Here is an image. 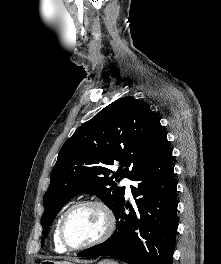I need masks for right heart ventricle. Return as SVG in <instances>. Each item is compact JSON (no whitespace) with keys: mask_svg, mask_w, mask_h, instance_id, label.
Masks as SVG:
<instances>
[{"mask_svg":"<svg viewBox=\"0 0 221 264\" xmlns=\"http://www.w3.org/2000/svg\"><path fill=\"white\" fill-rule=\"evenodd\" d=\"M59 221H60V219H58V221L55 225V228H54L53 245H54V249L57 252H65L67 249L61 244L60 239H59V235H58Z\"/></svg>","mask_w":221,"mask_h":264,"instance_id":"1","label":"right heart ventricle"}]
</instances>
